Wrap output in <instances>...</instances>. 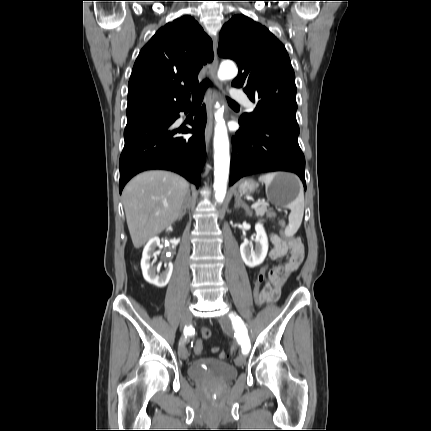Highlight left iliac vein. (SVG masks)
<instances>
[{
	"instance_id": "obj_1",
	"label": "left iliac vein",
	"mask_w": 431,
	"mask_h": 431,
	"mask_svg": "<svg viewBox=\"0 0 431 431\" xmlns=\"http://www.w3.org/2000/svg\"><path fill=\"white\" fill-rule=\"evenodd\" d=\"M222 322H223L224 324H228V323H229V318H228V317H222ZM245 363H246V357H245V355L240 354V355H238V356L236 357V359H235V364H236L237 366H242V365H244Z\"/></svg>"
}]
</instances>
